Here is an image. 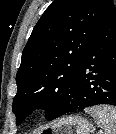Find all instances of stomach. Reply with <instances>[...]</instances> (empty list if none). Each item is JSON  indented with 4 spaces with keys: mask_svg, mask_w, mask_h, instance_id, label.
I'll use <instances>...</instances> for the list:
<instances>
[{
    "mask_svg": "<svg viewBox=\"0 0 116 134\" xmlns=\"http://www.w3.org/2000/svg\"><path fill=\"white\" fill-rule=\"evenodd\" d=\"M90 123L80 116H66L46 125L38 134H89Z\"/></svg>",
    "mask_w": 116,
    "mask_h": 134,
    "instance_id": "obj_1",
    "label": "stomach"
}]
</instances>
